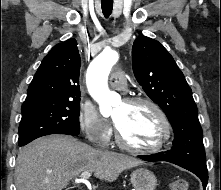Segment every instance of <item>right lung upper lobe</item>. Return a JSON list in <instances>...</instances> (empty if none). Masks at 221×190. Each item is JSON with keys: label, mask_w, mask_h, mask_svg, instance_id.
I'll return each mask as SVG.
<instances>
[{"label": "right lung upper lobe", "mask_w": 221, "mask_h": 190, "mask_svg": "<svg viewBox=\"0 0 221 190\" xmlns=\"http://www.w3.org/2000/svg\"><path fill=\"white\" fill-rule=\"evenodd\" d=\"M80 55L70 38L55 45L42 60L23 105L52 100L80 99Z\"/></svg>", "instance_id": "1"}]
</instances>
